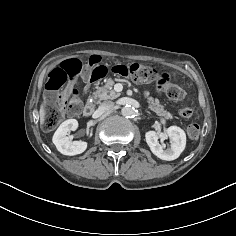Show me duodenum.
Here are the masks:
<instances>
[{
	"mask_svg": "<svg viewBox=\"0 0 236 236\" xmlns=\"http://www.w3.org/2000/svg\"><path fill=\"white\" fill-rule=\"evenodd\" d=\"M93 110H94V107L92 103L86 105L85 111H84L85 116L90 117L93 114Z\"/></svg>",
	"mask_w": 236,
	"mask_h": 236,
	"instance_id": "duodenum-1",
	"label": "duodenum"
}]
</instances>
